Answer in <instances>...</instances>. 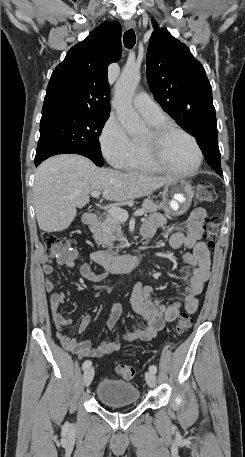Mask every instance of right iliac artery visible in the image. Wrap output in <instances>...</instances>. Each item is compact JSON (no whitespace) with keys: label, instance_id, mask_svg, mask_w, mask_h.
Segmentation results:
<instances>
[{"label":"right iliac artery","instance_id":"right-iliac-artery-1","mask_svg":"<svg viewBox=\"0 0 245 457\" xmlns=\"http://www.w3.org/2000/svg\"><path fill=\"white\" fill-rule=\"evenodd\" d=\"M91 365H92V362H91L90 360H86V361L83 363L82 368H83V370H86V369H88L89 367H91Z\"/></svg>","mask_w":245,"mask_h":457}]
</instances>
